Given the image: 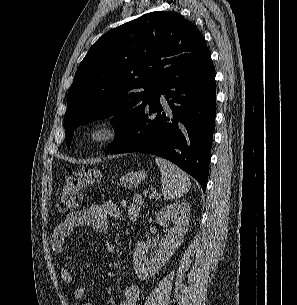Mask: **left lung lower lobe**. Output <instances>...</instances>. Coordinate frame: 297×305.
I'll list each match as a JSON object with an SVG mask.
<instances>
[{
    "label": "left lung lower lobe",
    "mask_w": 297,
    "mask_h": 305,
    "mask_svg": "<svg viewBox=\"0 0 297 305\" xmlns=\"http://www.w3.org/2000/svg\"><path fill=\"white\" fill-rule=\"evenodd\" d=\"M160 94L167 104H160ZM213 63L170 79L132 121L128 134L110 154L143 152L166 158L192 175L206 190L216 115ZM154 113H157L154 115Z\"/></svg>",
    "instance_id": "1"
}]
</instances>
